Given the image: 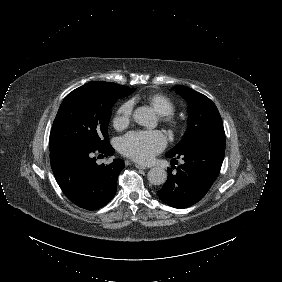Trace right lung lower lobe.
I'll use <instances>...</instances> for the list:
<instances>
[{
    "label": "right lung lower lobe",
    "instance_id": "1",
    "mask_svg": "<svg viewBox=\"0 0 282 282\" xmlns=\"http://www.w3.org/2000/svg\"><path fill=\"white\" fill-rule=\"evenodd\" d=\"M110 145L69 144L50 151L51 167L63 193L77 206L96 210L106 205L116 194V183L125 164L114 159L109 165H98L97 154L111 156Z\"/></svg>",
    "mask_w": 282,
    "mask_h": 282
}]
</instances>
